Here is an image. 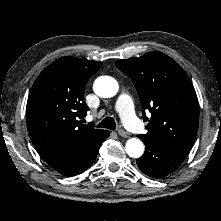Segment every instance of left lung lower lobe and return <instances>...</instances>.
I'll return each instance as SVG.
<instances>
[{
  "instance_id": "left-lung-lower-lobe-1",
  "label": "left lung lower lobe",
  "mask_w": 221,
  "mask_h": 221,
  "mask_svg": "<svg viewBox=\"0 0 221 221\" xmlns=\"http://www.w3.org/2000/svg\"><path fill=\"white\" fill-rule=\"evenodd\" d=\"M140 139L145 144V153L137 159V166L150 177L161 178L167 176L180 166L189 153L186 149L163 141Z\"/></svg>"
}]
</instances>
